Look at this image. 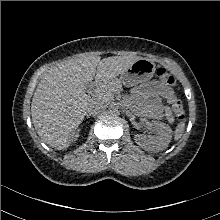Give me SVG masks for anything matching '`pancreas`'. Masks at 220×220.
<instances>
[{"label": "pancreas", "mask_w": 220, "mask_h": 220, "mask_svg": "<svg viewBox=\"0 0 220 220\" xmlns=\"http://www.w3.org/2000/svg\"><path fill=\"white\" fill-rule=\"evenodd\" d=\"M94 100L97 103L106 102L108 100V94H106V93L97 94V96L94 98ZM165 110H166V115L167 116H170L172 114L171 110L169 108H165Z\"/></svg>", "instance_id": "1"}]
</instances>
